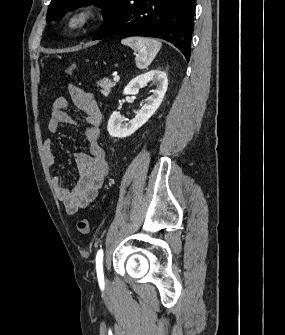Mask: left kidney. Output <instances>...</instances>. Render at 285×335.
Wrapping results in <instances>:
<instances>
[{
  "label": "left kidney",
  "instance_id": "left-kidney-1",
  "mask_svg": "<svg viewBox=\"0 0 285 335\" xmlns=\"http://www.w3.org/2000/svg\"><path fill=\"white\" fill-rule=\"evenodd\" d=\"M147 82H153L156 86V90H153V96L147 98L146 104L142 106L141 110L137 112L135 118L130 122H123L118 112H113L108 122V132L113 138H127L134 134L136 130H139L145 122H148L149 118L155 114L158 110L168 88V80L165 72L161 70H151L146 72L142 76H137L134 80H131L123 90L124 96H131V94H137L138 90L144 88Z\"/></svg>",
  "mask_w": 285,
  "mask_h": 335
}]
</instances>
